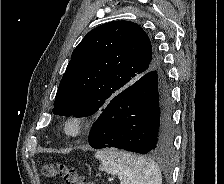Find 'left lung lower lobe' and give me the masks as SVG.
Instances as JSON below:
<instances>
[{"mask_svg":"<svg viewBox=\"0 0 224 184\" xmlns=\"http://www.w3.org/2000/svg\"><path fill=\"white\" fill-rule=\"evenodd\" d=\"M169 85L161 70L144 74L106 105L93 124L89 144L141 154H162L173 141Z\"/></svg>","mask_w":224,"mask_h":184,"instance_id":"left-lung-lower-lobe-1","label":"left lung lower lobe"}]
</instances>
